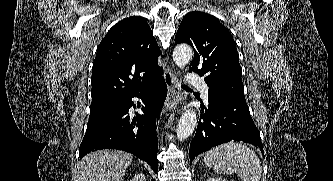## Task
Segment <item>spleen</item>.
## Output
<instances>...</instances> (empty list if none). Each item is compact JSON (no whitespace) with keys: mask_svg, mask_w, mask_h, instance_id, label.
<instances>
[{"mask_svg":"<svg viewBox=\"0 0 333 181\" xmlns=\"http://www.w3.org/2000/svg\"><path fill=\"white\" fill-rule=\"evenodd\" d=\"M204 162L217 173H237L243 181H260L262 165L257 154L247 146L229 142L209 150Z\"/></svg>","mask_w":333,"mask_h":181,"instance_id":"obj_1","label":"spleen"}]
</instances>
